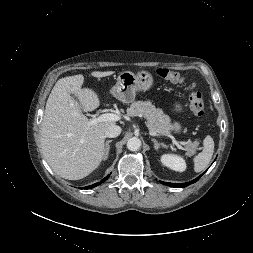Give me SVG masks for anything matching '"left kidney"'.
<instances>
[{
    "mask_svg": "<svg viewBox=\"0 0 253 253\" xmlns=\"http://www.w3.org/2000/svg\"><path fill=\"white\" fill-rule=\"evenodd\" d=\"M161 162L164 166L178 172H183L186 169L185 160L173 154H163L161 156Z\"/></svg>",
    "mask_w": 253,
    "mask_h": 253,
    "instance_id": "1",
    "label": "left kidney"
}]
</instances>
